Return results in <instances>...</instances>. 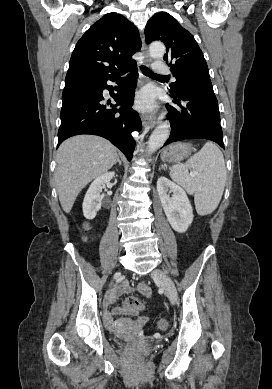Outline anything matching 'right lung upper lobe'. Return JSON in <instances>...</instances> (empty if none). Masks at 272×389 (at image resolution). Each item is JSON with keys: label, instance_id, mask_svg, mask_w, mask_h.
<instances>
[{"label": "right lung upper lobe", "instance_id": "1", "mask_svg": "<svg viewBox=\"0 0 272 389\" xmlns=\"http://www.w3.org/2000/svg\"><path fill=\"white\" fill-rule=\"evenodd\" d=\"M141 45L133 23L120 14L104 15L77 42L65 85L96 82L122 72L135 64L132 55Z\"/></svg>", "mask_w": 272, "mask_h": 389}]
</instances>
